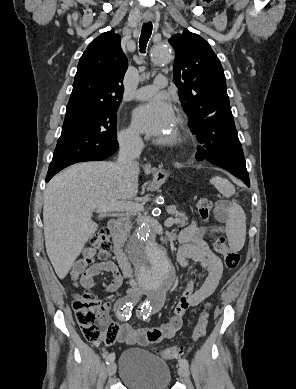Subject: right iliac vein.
Segmentation results:
<instances>
[{
  "mask_svg": "<svg viewBox=\"0 0 296 389\" xmlns=\"http://www.w3.org/2000/svg\"><path fill=\"white\" fill-rule=\"evenodd\" d=\"M116 372V364L112 361L108 364L107 373L109 376L114 375Z\"/></svg>",
  "mask_w": 296,
  "mask_h": 389,
  "instance_id": "63e3f726",
  "label": "right iliac vein"
}]
</instances>
